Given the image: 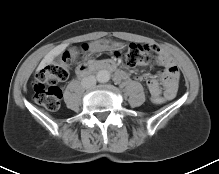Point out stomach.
<instances>
[{
	"mask_svg": "<svg viewBox=\"0 0 219 174\" xmlns=\"http://www.w3.org/2000/svg\"><path fill=\"white\" fill-rule=\"evenodd\" d=\"M116 46L115 43L108 41V40H101V41H97L95 43L92 44V48L98 50V49H108V48H112ZM117 46H119V44H117Z\"/></svg>",
	"mask_w": 219,
	"mask_h": 174,
	"instance_id": "0dacf381",
	"label": "stomach"
}]
</instances>
